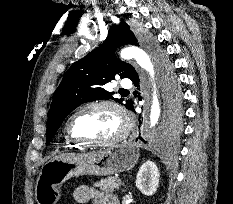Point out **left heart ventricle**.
Instances as JSON below:
<instances>
[{"label": "left heart ventricle", "mask_w": 233, "mask_h": 204, "mask_svg": "<svg viewBox=\"0 0 233 204\" xmlns=\"http://www.w3.org/2000/svg\"><path fill=\"white\" fill-rule=\"evenodd\" d=\"M121 128L120 117L107 107L88 109L72 123V131L76 136L93 141L108 140L119 133Z\"/></svg>", "instance_id": "obj_1"}]
</instances>
